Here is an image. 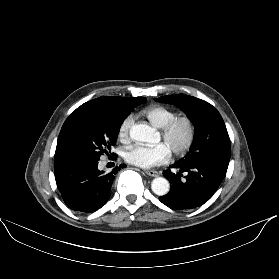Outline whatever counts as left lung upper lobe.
I'll return each instance as SVG.
<instances>
[{
  "instance_id": "left-lung-upper-lobe-1",
  "label": "left lung upper lobe",
  "mask_w": 279,
  "mask_h": 279,
  "mask_svg": "<svg viewBox=\"0 0 279 279\" xmlns=\"http://www.w3.org/2000/svg\"><path fill=\"white\" fill-rule=\"evenodd\" d=\"M155 101L182 109L194 124L195 135L189 152L176 163L211 162L227 170L231 145L225 123L217 109L208 102L185 94L166 95Z\"/></svg>"
}]
</instances>
